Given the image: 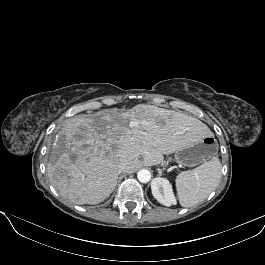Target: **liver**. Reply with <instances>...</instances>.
I'll return each instance as SVG.
<instances>
[{
	"instance_id": "1",
	"label": "liver",
	"mask_w": 265,
	"mask_h": 265,
	"mask_svg": "<svg viewBox=\"0 0 265 265\" xmlns=\"http://www.w3.org/2000/svg\"><path fill=\"white\" fill-rule=\"evenodd\" d=\"M209 132L187 114L145 104L74 116L62 124L47 174L52 186L75 204H98L115 189L120 163H127L129 173L158 165L164 155Z\"/></svg>"
}]
</instances>
